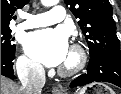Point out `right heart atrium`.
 <instances>
[{
    "mask_svg": "<svg viewBox=\"0 0 121 94\" xmlns=\"http://www.w3.org/2000/svg\"><path fill=\"white\" fill-rule=\"evenodd\" d=\"M16 68L22 78H34L42 74V67L27 55L18 58Z\"/></svg>",
    "mask_w": 121,
    "mask_h": 94,
    "instance_id": "d8ad5b80",
    "label": "right heart atrium"
}]
</instances>
